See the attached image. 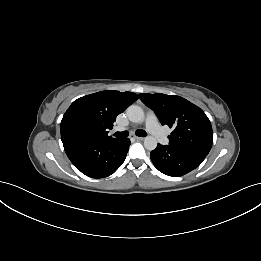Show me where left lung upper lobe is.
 I'll return each instance as SVG.
<instances>
[{"instance_id":"1","label":"left lung upper lobe","mask_w":261,"mask_h":261,"mask_svg":"<svg viewBox=\"0 0 261 261\" xmlns=\"http://www.w3.org/2000/svg\"><path fill=\"white\" fill-rule=\"evenodd\" d=\"M139 97L155 112L162 125L173 129L168 136L169 146L209 153L213 142L212 126L199 107L176 95L142 93Z\"/></svg>"}]
</instances>
